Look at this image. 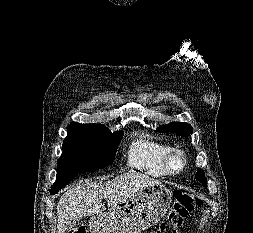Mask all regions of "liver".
Returning a JSON list of instances; mask_svg holds the SVG:
<instances>
[{"mask_svg": "<svg viewBox=\"0 0 253 233\" xmlns=\"http://www.w3.org/2000/svg\"><path fill=\"white\" fill-rule=\"evenodd\" d=\"M160 184L144 174L130 172L117 176L108 182L86 180L64 192L57 205V233H64L71 224L85 216L102 214L106 198L111 206H116L133 196L138 191Z\"/></svg>", "mask_w": 253, "mask_h": 233, "instance_id": "obj_1", "label": "liver"}]
</instances>
